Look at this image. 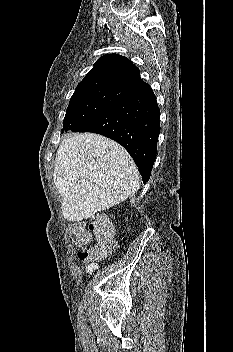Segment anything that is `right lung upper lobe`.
<instances>
[{
    "label": "right lung upper lobe",
    "mask_w": 233,
    "mask_h": 352,
    "mask_svg": "<svg viewBox=\"0 0 233 352\" xmlns=\"http://www.w3.org/2000/svg\"><path fill=\"white\" fill-rule=\"evenodd\" d=\"M139 69L126 57L106 54L100 57L76 89L99 85H119L135 89L137 92L150 87L140 78Z\"/></svg>",
    "instance_id": "obj_1"
}]
</instances>
